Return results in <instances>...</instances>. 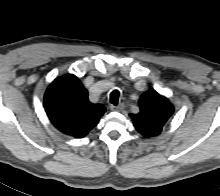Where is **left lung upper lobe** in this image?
Returning a JSON list of instances; mask_svg holds the SVG:
<instances>
[{"mask_svg":"<svg viewBox=\"0 0 220 196\" xmlns=\"http://www.w3.org/2000/svg\"><path fill=\"white\" fill-rule=\"evenodd\" d=\"M139 105L140 112L130 114L135 128L147 138L159 135L173 114V105L154 89H149L141 96Z\"/></svg>","mask_w":220,"mask_h":196,"instance_id":"5c2ea615","label":"left lung upper lobe"}]
</instances>
